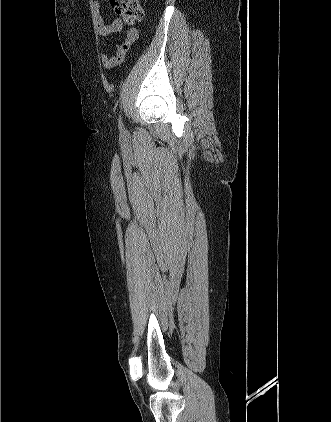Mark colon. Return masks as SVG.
Listing matches in <instances>:
<instances>
[{
  "instance_id": "colon-1",
  "label": "colon",
  "mask_w": 331,
  "mask_h": 422,
  "mask_svg": "<svg viewBox=\"0 0 331 422\" xmlns=\"http://www.w3.org/2000/svg\"><path fill=\"white\" fill-rule=\"evenodd\" d=\"M109 3L128 24H134L143 18V9L139 0H109Z\"/></svg>"
}]
</instances>
